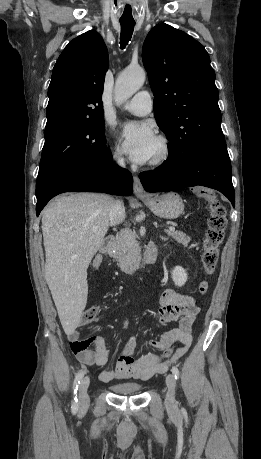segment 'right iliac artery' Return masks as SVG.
I'll return each mask as SVG.
<instances>
[{
	"mask_svg": "<svg viewBox=\"0 0 261 459\" xmlns=\"http://www.w3.org/2000/svg\"><path fill=\"white\" fill-rule=\"evenodd\" d=\"M84 374H85L84 371H80L77 373L74 379L73 390H74L75 397H74V400L72 401V407H71L73 412H76L79 407L78 398H77V390H78V386Z\"/></svg>",
	"mask_w": 261,
	"mask_h": 459,
	"instance_id": "1",
	"label": "right iliac artery"
}]
</instances>
